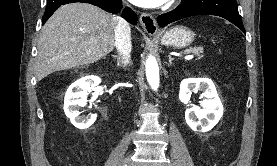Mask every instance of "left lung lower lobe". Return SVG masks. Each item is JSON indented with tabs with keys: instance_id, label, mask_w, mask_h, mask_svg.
Wrapping results in <instances>:
<instances>
[{
	"instance_id": "obj_1",
	"label": "left lung lower lobe",
	"mask_w": 277,
	"mask_h": 166,
	"mask_svg": "<svg viewBox=\"0 0 277 166\" xmlns=\"http://www.w3.org/2000/svg\"><path fill=\"white\" fill-rule=\"evenodd\" d=\"M196 15H216L223 17L245 33L236 0L181 1V4L176 9L160 15L157 18V22L159 26L164 27L174 21Z\"/></svg>"
}]
</instances>
